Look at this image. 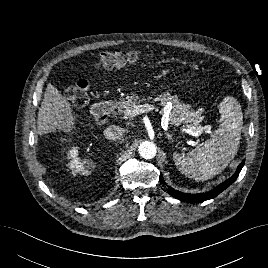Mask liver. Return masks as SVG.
Here are the masks:
<instances>
[{"label": "liver", "mask_w": 268, "mask_h": 268, "mask_svg": "<svg viewBox=\"0 0 268 268\" xmlns=\"http://www.w3.org/2000/svg\"><path fill=\"white\" fill-rule=\"evenodd\" d=\"M75 120L68 98L49 83L38 112L37 133L43 135L56 130L69 133L75 128Z\"/></svg>", "instance_id": "obj_1"}]
</instances>
